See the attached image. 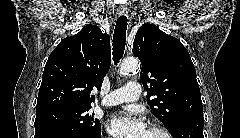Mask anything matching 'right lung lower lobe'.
<instances>
[{
	"label": "right lung lower lobe",
	"instance_id": "right-lung-lower-lobe-1",
	"mask_svg": "<svg viewBox=\"0 0 240 138\" xmlns=\"http://www.w3.org/2000/svg\"><path fill=\"white\" fill-rule=\"evenodd\" d=\"M34 138H101V133L88 136L66 126L51 125L47 127L35 128Z\"/></svg>",
	"mask_w": 240,
	"mask_h": 138
}]
</instances>
